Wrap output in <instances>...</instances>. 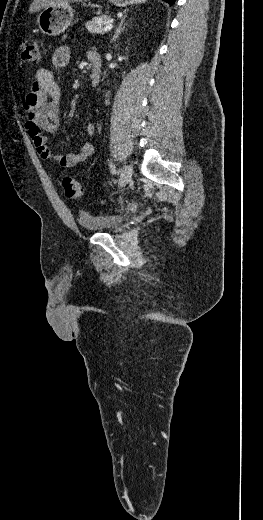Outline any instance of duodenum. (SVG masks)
Here are the masks:
<instances>
[{
    "label": "duodenum",
    "mask_w": 263,
    "mask_h": 520,
    "mask_svg": "<svg viewBox=\"0 0 263 520\" xmlns=\"http://www.w3.org/2000/svg\"><path fill=\"white\" fill-rule=\"evenodd\" d=\"M89 59L91 62V72H90V80L93 87H97L101 81L102 75V59L99 53L91 52L89 54Z\"/></svg>",
    "instance_id": "410a0bca"
}]
</instances>
